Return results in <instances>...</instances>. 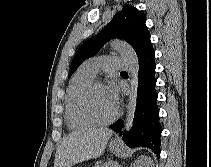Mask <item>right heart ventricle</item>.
Here are the masks:
<instances>
[{
    "mask_svg": "<svg viewBox=\"0 0 211 167\" xmlns=\"http://www.w3.org/2000/svg\"><path fill=\"white\" fill-rule=\"evenodd\" d=\"M94 75L81 67L73 76L65 96V119L69 128L81 130L92 127L80 112L79 101L83 90L94 80Z\"/></svg>",
    "mask_w": 211,
    "mask_h": 167,
    "instance_id": "e07e8e85",
    "label": "right heart ventricle"
}]
</instances>
